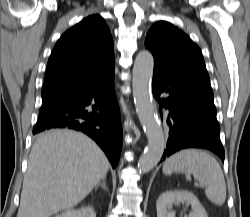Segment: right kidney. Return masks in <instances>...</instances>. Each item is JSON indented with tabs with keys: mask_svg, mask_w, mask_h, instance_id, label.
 <instances>
[{
	"mask_svg": "<svg viewBox=\"0 0 250 217\" xmlns=\"http://www.w3.org/2000/svg\"><path fill=\"white\" fill-rule=\"evenodd\" d=\"M56 217H96L92 207L86 206L76 210H67Z\"/></svg>",
	"mask_w": 250,
	"mask_h": 217,
	"instance_id": "1",
	"label": "right kidney"
}]
</instances>
